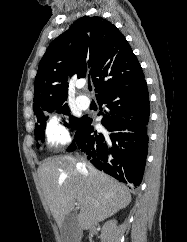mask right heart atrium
Instances as JSON below:
<instances>
[{
    "label": "right heart atrium",
    "mask_w": 187,
    "mask_h": 242,
    "mask_svg": "<svg viewBox=\"0 0 187 242\" xmlns=\"http://www.w3.org/2000/svg\"><path fill=\"white\" fill-rule=\"evenodd\" d=\"M46 139L51 146H62L69 141V134L65 121L59 117H52L46 127Z\"/></svg>",
    "instance_id": "d8ad5b80"
}]
</instances>
